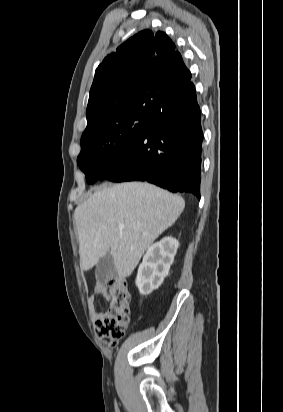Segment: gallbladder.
Here are the masks:
<instances>
[{
  "instance_id": "bac80fb5",
  "label": "gallbladder",
  "mask_w": 283,
  "mask_h": 412,
  "mask_svg": "<svg viewBox=\"0 0 283 412\" xmlns=\"http://www.w3.org/2000/svg\"><path fill=\"white\" fill-rule=\"evenodd\" d=\"M115 274V263L110 252L102 257L97 263L95 277L104 283Z\"/></svg>"
}]
</instances>
